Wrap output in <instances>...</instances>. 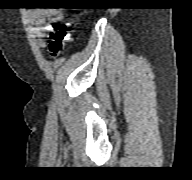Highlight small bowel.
<instances>
[{"mask_svg":"<svg viewBox=\"0 0 192 180\" xmlns=\"http://www.w3.org/2000/svg\"><path fill=\"white\" fill-rule=\"evenodd\" d=\"M62 13L55 8L35 9L30 12V23L37 37V44L44 47L46 42L43 39L44 32L49 29L48 23H55L62 20Z\"/></svg>","mask_w":192,"mask_h":180,"instance_id":"1","label":"small bowel"}]
</instances>
